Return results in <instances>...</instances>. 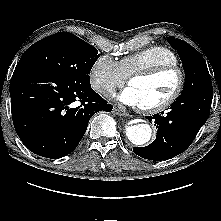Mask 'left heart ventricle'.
Wrapping results in <instances>:
<instances>
[{
  "label": "left heart ventricle",
  "mask_w": 221,
  "mask_h": 221,
  "mask_svg": "<svg viewBox=\"0 0 221 221\" xmlns=\"http://www.w3.org/2000/svg\"><path fill=\"white\" fill-rule=\"evenodd\" d=\"M178 75L162 73L150 78H136L130 86L136 91L140 106H152L167 99L176 89Z\"/></svg>",
  "instance_id": "left-heart-ventricle-1"
}]
</instances>
